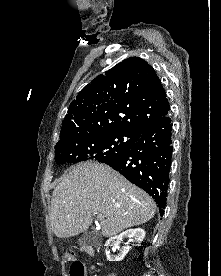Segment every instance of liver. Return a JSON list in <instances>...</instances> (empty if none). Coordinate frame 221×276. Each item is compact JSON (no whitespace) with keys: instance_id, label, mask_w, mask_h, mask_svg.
I'll return each mask as SVG.
<instances>
[{"instance_id":"1","label":"liver","mask_w":221,"mask_h":276,"mask_svg":"<svg viewBox=\"0 0 221 276\" xmlns=\"http://www.w3.org/2000/svg\"><path fill=\"white\" fill-rule=\"evenodd\" d=\"M156 204L142 189L105 164L84 162L71 168L54 189L50 220L53 233L68 238L86 232L95 215L102 235L115 236L154 217Z\"/></svg>"}]
</instances>
